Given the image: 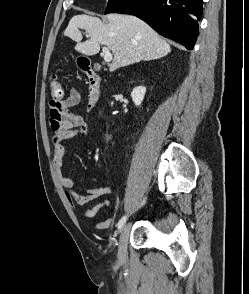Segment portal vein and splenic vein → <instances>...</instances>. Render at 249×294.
Instances as JSON below:
<instances>
[{"mask_svg":"<svg viewBox=\"0 0 249 294\" xmlns=\"http://www.w3.org/2000/svg\"><path fill=\"white\" fill-rule=\"evenodd\" d=\"M102 51H103V53H104V61L105 62H111L112 61V59H113V55L110 53V51H109V49H108V47H103L102 48Z\"/></svg>","mask_w":249,"mask_h":294,"instance_id":"obj_1","label":"portal vein and splenic vein"}]
</instances>
